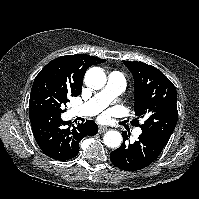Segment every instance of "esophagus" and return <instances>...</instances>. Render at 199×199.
I'll return each instance as SVG.
<instances>
[{"label": "esophagus", "instance_id": "esophagus-1", "mask_svg": "<svg viewBox=\"0 0 199 199\" xmlns=\"http://www.w3.org/2000/svg\"><path fill=\"white\" fill-rule=\"evenodd\" d=\"M107 130H108L107 127H105V126H100L99 129H98V132H99V133H103V132H105V131H107Z\"/></svg>", "mask_w": 199, "mask_h": 199}]
</instances>
